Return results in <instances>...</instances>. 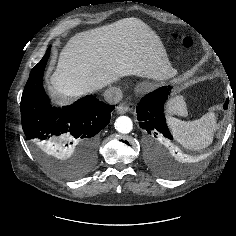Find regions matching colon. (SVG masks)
<instances>
[{
	"label": "colon",
	"mask_w": 236,
	"mask_h": 236,
	"mask_svg": "<svg viewBox=\"0 0 236 236\" xmlns=\"http://www.w3.org/2000/svg\"><path fill=\"white\" fill-rule=\"evenodd\" d=\"M174 38L179 41L184 47L189 48L192 46L193 42L190 38L184 37L178 34L174 35Z\"/></svg>",
	"instance_id": "obj_1"
}]
</instances>
